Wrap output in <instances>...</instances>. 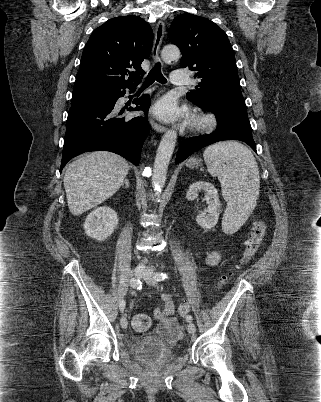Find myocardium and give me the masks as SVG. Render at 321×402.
I'll return each instance as SVG.
<instances>
[{"label":"myocardium","mask_w":321,"mask_h":402,"mask_svg":"<svg viewBox=\"0 0 321 402\" xmlns=\"http://www.w3.org/2000/svg\"><path fill=\"white\" fill-rule=\"evenodd\" d=\"M218 126L215 115L205 112H196L190 120V129L193 132L207 134L213 132Z\"/></svg>","instance_id":"f54148a6"}]
</instances>
